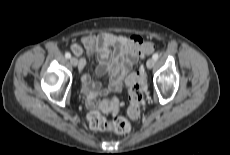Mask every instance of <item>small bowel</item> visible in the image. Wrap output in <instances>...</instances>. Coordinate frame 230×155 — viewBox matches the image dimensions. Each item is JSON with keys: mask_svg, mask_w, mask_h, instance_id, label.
I'll return each instance as SVG.
<instances>
[{"mask_svg": "<svg viewBox=\"0 0 230 155\" xmlns=\"http://www.w3.org/2000/svg\"><path fill=\"white\" fill-rule=\"evenodd\" d=\"M137 36L126 37L113 33H100L82 38L81 44L71 45V51L78 58L79 69L86 66L84 51L90 56L96 55L98 66L97 76H107L108 86L102 89L99 82L94 81L87 73H82L83 90L87 96V105L92 109H99L104 113L115 112L109 107V100H98V96L107 91H120L122 79L136 63L139 52L134 49L133 41ZM126 84H128L126 80Z\"/></svg>", "mask_w": 230, "mask_h": 155, "instance_id": "small-bowel-1", "label": "small bowel"}]
</instances>
